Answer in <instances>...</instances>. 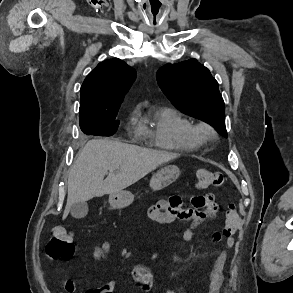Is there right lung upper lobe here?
<instances>
[{"label": "right lung upper lobe", "mask_w": 293, "mask_h": 293, "mask_svg": "<svg viewBox=\"0 0 293 293\" xmlns=\"http://www.w3.org/2000/svg\"><path fill=\"white\" fill-rule=\"evenodd\" d=\"M135 78V69L122 60L110 59L99 63L81 86L80 115L118 112L124 95Z\"/></svg>", "instance_id": "obj_1"}]
</instances>
